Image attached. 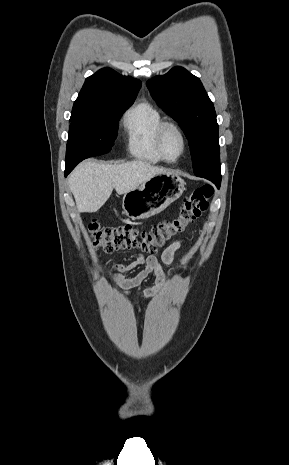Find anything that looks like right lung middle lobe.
I'll use <instances>...</instances> for the list:
<instances>
[{"label":"right lung middle lobe","mask_w":289,"mask_h":465,"mask_svg":"<svg viewBox=\"0 0 289 465\" xmlns=\"http://www.w3.org/2000/svg\"><path fill=\"white\" fill-rule=\"evenodd\" d=\"M132 103L133 100L110 103L97 113L96 119H70L66 162L109 152L117 136V121Z\"/></svg>","instance_id":"right-lung-middle-lobe-1"}]
</instances>
